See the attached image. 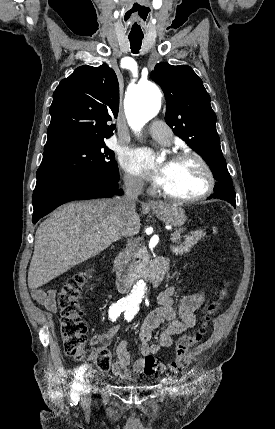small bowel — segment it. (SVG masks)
<instances>
[{"label":"small bowel","mask_w":275,"mask_h":429,"mask_svg":"<svg viewBox=\"0 0 275 429\" xmlns=\"http://www.w3.org/2000/svg\"><path fill=\"white\" fill-rule=\"evenodd\" d=\"M174 291L172 287L163 290L158 296L159 306L151 311L144 320L140 331L141 358L132 362L126 340L119 342L116 348L117 360L111 367V374L121 378L133 379L136 375L144 373L146 362L161 349L171 346L173 337L183 331L192 328L196 324L195 312L205 301V293L199 292L184 296L177 307L174 306ZM56 290L34 289L32 298L50 311L56 310ZM166 322V327L161 331L156 343H150L154 331ZM119 326H113L108 331L100 334L97 340L108 343L118 333ZM146 373V372H145Z\"/></svg>","instance_id":"small-bowel-1"}]
</instances>
